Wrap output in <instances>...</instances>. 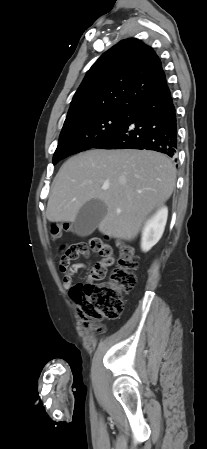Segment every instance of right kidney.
Listing matches in <instances>:
<instances>
[{"label": "right kidney", "mask_w": 207, "mask_h": 449, "mask_svg": "<svg viewBox=\"0 0 207 449\" xmlns=\"http://www.w3.org/2000/svg\"><path fill=\"white\" fill-rule=\"evenodd\" d=\"M167 217L168 209L166 206H163L158 209L149 220H147L142 231V251H149L160 240L165 229Z\"/></svg>", "instance_id": "ca27d5eb"}]
</instances>
